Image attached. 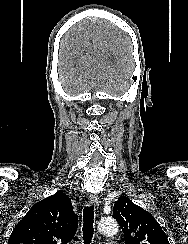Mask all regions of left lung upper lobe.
I'll return each mask as SVG.
<instances>
[{
  "mask_svg": "<svg viewBox=\"0 0 188 244\" xmlns=\"http://www.w3.org/2000/svg\"><path fill=\"white\" fill-rule=\"evenodd\" d=\"M113 217L123 231L125 244H169L155 218L126 196L115 202Z\"/></svg>",
  "mask_w": 188,
  "mask_h": 244,
  "instance_id": "1",
  "label": "left lung upper lobe"
}]
</instances>
